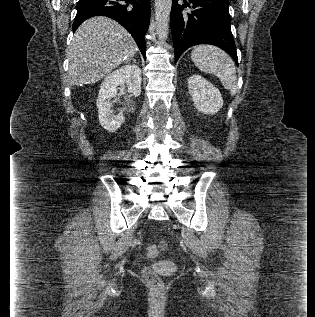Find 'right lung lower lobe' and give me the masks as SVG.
I'll return each mask as SVG.
<instances>
[{"label": "right lung lower lobe", "mask_w": 315, "mask_h": 317, "mask_svg": "<svg viewBox=\"0 0 315 317\" xmlns=\"http://www.w3.org/2000/svg\"><path fill=\"white\" fill-rule=\"evenodd\" d=\"M76 9L73 31L93 16L110 17L127 29L146 58L144 36L150 23V0H79Z\"/></svg>", "instance_id": "right-lung-lower-lobe-1"}]
</instances>
